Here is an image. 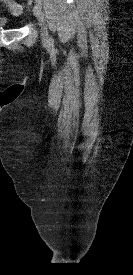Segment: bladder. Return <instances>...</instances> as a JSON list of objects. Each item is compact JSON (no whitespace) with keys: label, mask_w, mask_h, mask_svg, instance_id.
<instances>
[{"label":"bladder","mask_w":133,"mask_h":275,"mask_svg":"<svg viewBox=\"0 0 133 275\" xmlns=\"http://www.w3.org/2000/svg\"><path fill=\"white\" fill-rule=\"evenodd\" d=\"M10 22L7 18L5 17H0V28H6L9 27Z\"/></svg>","instance_id":"obj_1"}]
</instances>
